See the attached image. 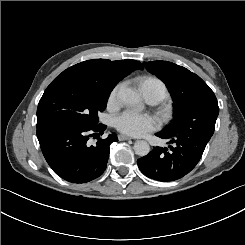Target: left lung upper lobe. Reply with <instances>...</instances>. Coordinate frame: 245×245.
I'll list each match as a JSON object with an SVG mask.
<instances>
[{
  "label": "left lung upper lobe",
  "mask_w": 245,
  "mask_h": 245,
  "mask_svg": "<svg viewBox=\"0 0 245 245\" xmlns=\"http://www.w3.org/2000/svg\"><path fill=\"white\" fill-rule=\"evenodd\" d=\"M146 69L161 79L173 99L175 119L162 131L182 129L202 115L217 118V99L209 86L188 69L168 61L144 62Z\"/></svg>",
  "instance_id": "obj_1"
}]
</instances>
